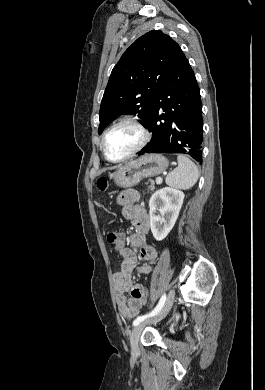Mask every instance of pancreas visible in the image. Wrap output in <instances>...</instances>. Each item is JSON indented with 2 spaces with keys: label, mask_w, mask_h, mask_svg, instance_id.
I'll use <instances>...</instances> for the list:
<instances>
[{
  "label": "pancreas",
  "mask_w": 265,
  "mask_h": 390,
  "mask_svg": "<svg viewBox=\"0 0 265 390\" xmlns=\"http://www.w3.org/2000/svg\"><path fill=\"white\" fill-rule=\"evenodd\" d=\"M147 184L149 185V187H148L149 190H152L154 188V185H155L154 180L150 179L147 182Z\"/></svg>",
  "instance_id": "obj_1"
}]
</instances>
